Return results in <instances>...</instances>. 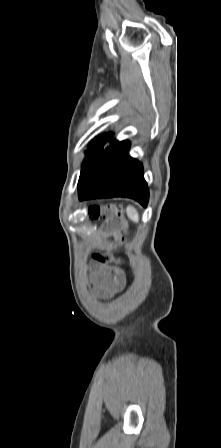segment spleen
<instances>
[{"label": "spleen", "instance_id": "spleen-1", "mask_svg": "<svg viewBox=\"0 0 221 448\" xmlns=\"http://www.w3.org/2000/svg\"><path fill=\"white\" fill-rule=\"evenodd\" d=\"M126 212H127L128 217L132 221H134L136 223L139 221V214L133 206H128Z\"/></svg>", "mask_w": 221, "mask_h": 448}]
</instances>
